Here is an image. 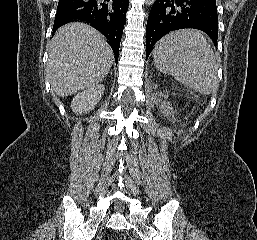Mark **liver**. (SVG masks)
I'll use <instances>...</instances> for the list:
<instances>
[{
  "mask_svg": "<svg viewBox=\"0 0 257 240\" xmlns=\"http://www.w3.org/2000/svg\"><path fill=\"white\" fill-rule=\"evenodd\" d=\"M114 59L104 37L84 23L67 24L55 33L47 64L52 90L61 97L101 82Z\"/></svg>",
  "mask_w": 257,
  "mask_h": 240,
  "instance_id": "1",
  "label": "liver"
}]
</instances>
